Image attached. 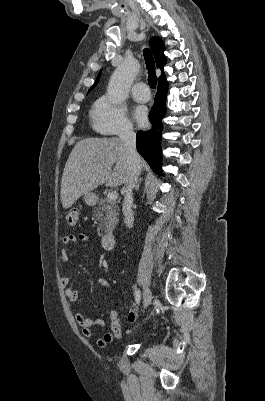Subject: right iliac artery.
<instances>
[{"instance_id": "obj_1", "label": "right iliac artery", "mask_w": 265, "mask_h": 401, "mask_svg": "<svg viewBox=\"0 0 265 401\" xmlns=\"http://www.w3.org/2000/svg\"><path fill=\"white\" fill-rule=\"evenodd\" d=\"M135 300H136L137 304H139L141 301V292L139 290L135 291Z\"/></svg>"}]
</instances>
